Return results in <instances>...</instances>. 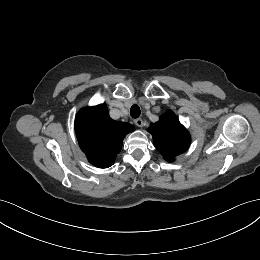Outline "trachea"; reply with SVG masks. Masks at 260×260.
Wrapping results in <instances>:
<instances>
[{"mask_svg": "<svg viewBox=\"0 0 260 260\" xmlns=\"http://www.w3.org/2000/svg\"><path fill=\"white\" fill-rule=\"evenodd\" d=\"M130 115L132 118H138L140 116V108L138 105L134 104L131 106Z\"/></svg>", "mask_w": 260, "mask_h": 260, "instance_id": "trachea-1", "label": "trachea"}]
</instances>
